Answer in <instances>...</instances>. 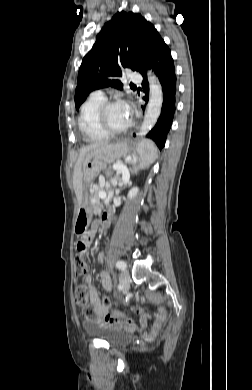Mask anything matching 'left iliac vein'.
I'll return each instance as SVG.
<instances>
[{"label":"left iliac vein","mask_w":252,"mask_h":390,"mask_svg":"<svg viewBox=\"0 0 252 390\" xmlns=\"http://www.w3.org/2000/svg\"><path fill=\"white\" fill-rule=\"evenodd\" d=\"M120 282L122 285L123 293H127L130 289L131 280L126 271H123L120 275Z\"/></svg>","instance_id":"obj_1"}]
</instances>
